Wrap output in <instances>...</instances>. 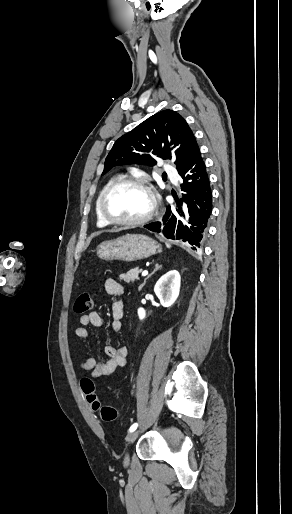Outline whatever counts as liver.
Here are the masks:
<instances>
[{"label": "liver", "mask_w": 292, "mask_h": 514, "mask_svg": "<svg viewBox=\"0 0 292 514\" xmlns=\"http://www.w3.org/2000/svg\"><path fill=\"white\" fill-rule=\"evenodd\" d=\"M120 230H123V228H120ZM120 230H109V232H120Z\"/></svg>", "instance_id": "obj_1"}]
</instances>
